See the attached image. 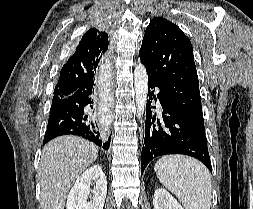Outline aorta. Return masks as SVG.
Listing matches in <instances>:
<instances>
[{"mask_svg":"<svg viewBox=\"0 0 253 209\" xmlns=\"http://www.w3.org/2000/svg\"><path fill=\"white\" fill-rule=\"evenodd\" d=\"M134 87L135 100L137 106V116L141 119L146 106L147 92H148V76L145 67L139 64L134 70Z\"/></svg>","mask_w":253,"mask_h":209,"instance_id":"aorta-1","label":"aorta"}]
</instances>
